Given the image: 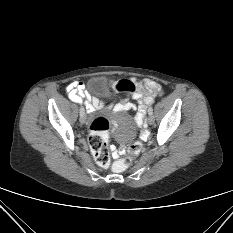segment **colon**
I'll use <instances>...</instances> for the list:
<instances>
[{
    "label": "colon",
    "mask_w": 233,
    "mask_h": 233,
    "mask_svg": "<svg viewBox=\"0 0 233 233\" xmlns=\"http://www.w3.org/2000/svg\"><path fill=\"white\" fill-rule=\"evenodd\" d=\"M115 88L123 92L135 91V85L130 80H121L116 83ZM110 122L106 117L98 116L90 124L88 137L89 147L96 163L100 167H108L110 164V154L108 149V130ZM142 150L140 142H134L128 147V156L113 163L112 169L116 172L124 171L131 164L132 159Z\"/></svg>",
    "instance_id": "obj_1"
}]
</instances>
